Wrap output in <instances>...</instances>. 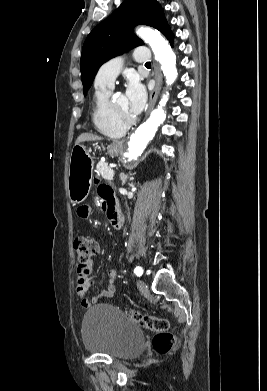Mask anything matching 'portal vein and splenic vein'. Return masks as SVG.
Masks as SVG:
<instances>
[{"mask_svg": "<svg viewBox=\"0 0 267 391\" xmlns=\"http://www.w3.org/2000/svg\"><path fill=\"white\" fill-rule=\"evenodd\" d=\"M115 166H116V165L111 164V165H110V168L113 169Z\"/></svg>", "mask_w": 267, "mask_h": 391, "instance_id": "1", "label": "portal vein and splenic vein"}]
</instances>
